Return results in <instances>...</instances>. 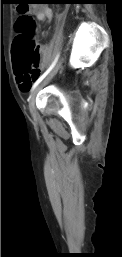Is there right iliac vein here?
Segmentation results:
<instances>
[{"mask_svg":"<svg viewBox=\"0 0 122 257\" xmlns=\"http://www.w3.org/2000/svg\"><path fill=\"white\" fill-rule=\"evenodd\" d=\"M61 66V62H59V64L54 68V70L47 76V78H45V80L39 84L34 91L32 92L30 99H29V110L31 112V114L34 116L36 114V107H35V98L36 95L38 93V91L44 86L46 85L52 78L53 76L57 73V71L59 70Z\"/></svg>","mask_w":122,"mask_h":257,"instance_id":"1","label":"right iliac vein"}]
</instances>
